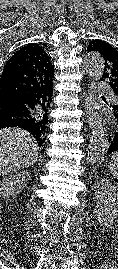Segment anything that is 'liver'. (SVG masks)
<instances>
[{
  "mask_svg": "<svg viewBox=\"0 0 118 269\" xmlns=\"http://www.w3.org/2000/svg\"><path fill=\"white\" fill-rule=\"evenodd\" d=\"M39 148L30 133L20 128L0 130V176L37 162Z\"/></svg>",
  "mask_w": 118,
  "mask_h": 269,
  "instance_id": "6515ba94",
  "label": "liver"
}]
</instances>
